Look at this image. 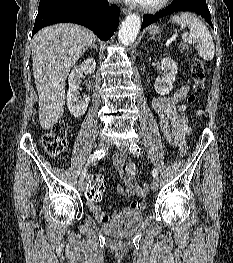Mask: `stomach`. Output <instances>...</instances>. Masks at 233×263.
Wrapping results in <instances>:
<instances>
[{"instance_id":"stomach-1","label":"stomach","mask_w":233,"mask_h":263,"mask_svg":"<svg viewBox=\"0 0 233 263\" xmlns=\"http://www.w3.org/2000/svg\"><path fill=\"white\" fill-rule=\"evenodd\" d=\"M159 32H160V28H159L158 26H156V25L150 26V28H149V34H150V35L155 36V35L158 34Z\"/></svg>"}]
</instances>
